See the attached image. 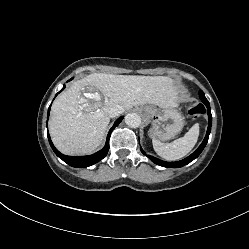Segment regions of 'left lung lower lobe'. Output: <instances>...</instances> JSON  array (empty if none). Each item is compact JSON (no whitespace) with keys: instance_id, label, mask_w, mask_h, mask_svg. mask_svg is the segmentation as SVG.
<instances>
[{"instance_id":"1","label":"left lung lower lobe","mask_w":249,"mask_h":249,"mask_svg":"<svg viewBox=\"0 0 249 249\" xmlns=\"http://www.w3.org/2000/svg\"><path fill=\"white\" fill-rule=\"evenodd\" d=\"M201 101L206 105L207 107V113H208V128H207V133L206 136L203 140V142L201 143V145L198 147V149L193 152L190 156L186 157L185 159L181 160V161H177V162H166V161H162L158 158H155L153 156H148V158L153 161L155 164L159 165V166H163L166 168H179V167H183L185 165H187L188 163H190L191 161H193L194 159H196L200 153L203 151L204 147L206 146L207 142H208V138H209V134L211 131V123H212V115H211V109H210V105L208 100L206 99L205 95L200 96ZM142 153L144 155H146L143 150L141 149Z\"/></svg>"}]
</instances>
